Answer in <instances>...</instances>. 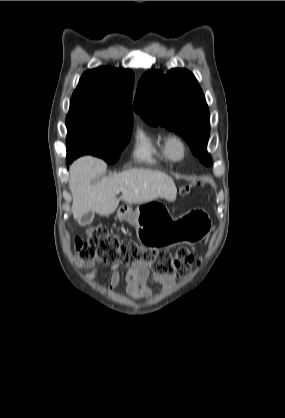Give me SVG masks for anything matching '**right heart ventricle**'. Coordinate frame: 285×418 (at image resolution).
Instances as JSON below:
<instances>
[{"instance_id": "e07e8e85", "label": "right heart ventricle", "mask_w": 285, "mask_h": 418, "mask_svg": "<svg viewBox=\"0 0 285 418\" xmlns=\"http://www.w3.org/2000/svg\"><path fill=\"white\" fill-rule=\"evenodd\" d=\"M132 155L136 161L149 164L168 160L163 146V138L145 129L136 131Z\"/></svg>"}]
</instances>
